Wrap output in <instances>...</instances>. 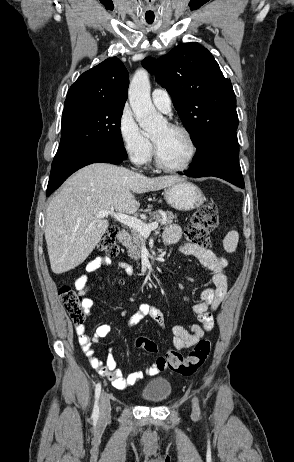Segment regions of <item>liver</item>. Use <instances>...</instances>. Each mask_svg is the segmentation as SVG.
Returning <instances> with one entry per match:
<instances>
[{"label":"liver","instance_id":"obj_1","mask_svg":"<svg viewBox=\"0 0 294 462\" xmlns=\"http://www.w3.org/2000/svg\"><path fill=\"white\" fill-rule=\"evenodd\" d=\"M183 178L146 177L124 167L94 163L65 182L46 211L45 239L51 269L62 274L80 265L106 232L109 222L96 218L103 210L134 214L140 207L134 193L157 191Z\"/></svg>","mask_w":294,"mask_h":462}]
</instances>
